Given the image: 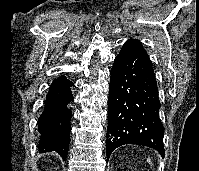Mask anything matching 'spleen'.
Listing matches in <instances>:
<instances>
[{"label":"spleen","mask_w":199,"mask_h":171,"mask_svg":"<svg viewBox=\"0 0 199 171\" xmlns=\"http://www.w3.org/2000/svg\"><path fill=\"white\" fill-rule=\"evenodd\" d=\"M147 161L150 163V165L152 166V163H151V159L148 158Z\"/></svg>","instance_id":"obj_1"}]
</instances>
